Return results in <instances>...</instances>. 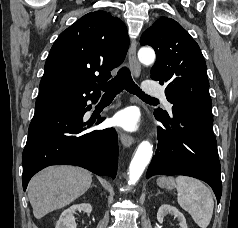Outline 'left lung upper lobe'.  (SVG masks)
<instances>
[{
    "instance_id": "1",
    "label": "left lung upper lobe",
    "mask_w": 238,
    "mask_h": 228,
    "mask_svg": "<svg viewBox=\"0 0 238 228\" xmlns=\"http://www.w3.org/2000/svg\"><path fill=\"white\" fill-rule=\"evenodd\" d=\"M149 45L157 59L151 78L166 85L165 94L172 110H182L213 119L206 63L201 50L189 33L175 20L161 17L140 39ZM161 116L166 111L156 110Z\"/></svg>"
}]
</instances>
